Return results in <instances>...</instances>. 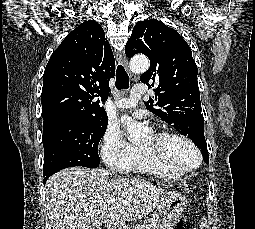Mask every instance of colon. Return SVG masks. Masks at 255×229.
<instances>
[{"instance_id":"obj_1","label":"colon","mask_w":255,"mask_h":229,"mask_svg":"<svg viewBox=\"0 0 255 229\" xmlns=\"http://www.w3.org/2000/svg\"><path fill=\"white\" fill-rule=\"evenodd\" d=\"M173 229H193V228L187 220L182 219L174 224Z\"/></svg>"}]
</instances>
